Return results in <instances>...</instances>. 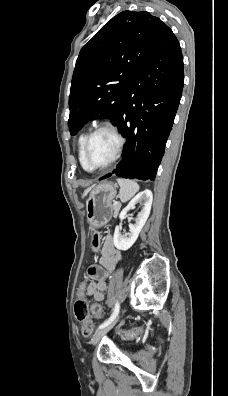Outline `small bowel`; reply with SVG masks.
Instances as JSON below:
<instances>
[{
	"mask_svg": "<svg viewBox=\"0 0 228 396\" xmlns=\"http://www.w3.org/2000/svg\"><path fill=\"white\" fill-rule=\"evenodd\" d=\"M121 259V253L114 247L112 237L110 235L106 236L99 264L91 265L87 269V275L92 279L86 289L87 296L93 297L98 302L105 299L104 292L107 288V278Z\"/></svg>",
	"mask_w": 228,
	"mask_h": 396,
	"instance_id": "small-bowel-1",
	"label": "small bowel"
}]
</instances>
